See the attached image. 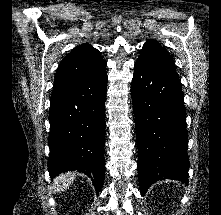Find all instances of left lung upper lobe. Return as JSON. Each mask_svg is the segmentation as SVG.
Here are the masks:
<instances>
[{
	"label": "left lung upper lobe",
	"instance_id": "5c2ea615",
	"mask_svg": "<svg viewBox=\"0 0 221 215\" xmlns=\"http://www.w3.org/2000/svg\"><path fill=\"white\" fill-rule=\"evenodd\" d=\"M137 60L168 70L176 71L174 61L169 52L162 48L161 45L155 40H148L143 45L140 56Z\"/></svg>",
	"mask_w": 221,
	"mask_h": 215
}]
</instances>
